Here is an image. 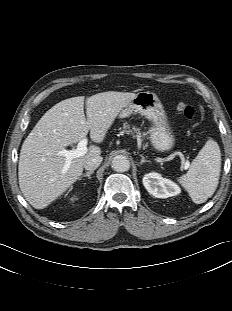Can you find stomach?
Wrapping results in <instances>:
<instances>
[{
	"label": "stomach",
	"instance_id": "obj_1",
	"mask_svg": "<svg viewBox=\"0 0 232 311\" xmlns=\"http://www.w3.org/2000/svg\"><path fill=\"white\" fill-rule=\"evenodd\" d=\"M140 113L150 122L149 139L152 146L160 152L171 150L175 145V137L168 123L164 107L155 93L142 91L120 112V117H129Z\"/></svg>",
	"mask_w": 232,
	"mask_h": 311
}]
</instances>
